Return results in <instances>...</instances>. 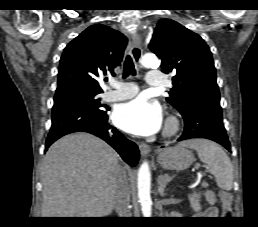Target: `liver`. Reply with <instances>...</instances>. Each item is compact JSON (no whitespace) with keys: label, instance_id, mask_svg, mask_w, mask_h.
Here are the masks:
<instances>
[{"label":"liver","instance_id":"1","mask_svg":"<svg viewBox=\"0 0 258 227\" xmlns=\"http://www.w3.org/2000/svg\"><path fill=\"white\" fill-rule=\"evenodd\" d=\"M118 154L91 134H69L43 159L42 217H103L112 213Z\"/></svg>","mask_w":258,"mask_h":227}]
</instances>
